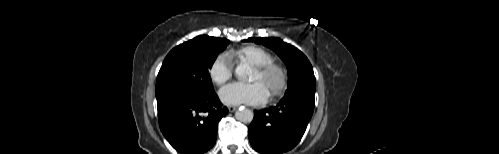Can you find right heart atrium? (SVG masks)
I'll return each mask as SVG.
<instances>
[{"instance_id":"d8ad5b80","label":"right heart atrium","mask_w":499,"mask_h":154,"mask_svg":"<svg viewBox=\"0 0 499 154\" xmlns=\"http://www.w3.org/2000/svg\"><path fill=\"white\" fill-rule=\"evenodd\" d=\"M233 74L232 61L227 56L219 55L210 65L209 76L216 85H223Z\"/></svg>"}]
</instances>
